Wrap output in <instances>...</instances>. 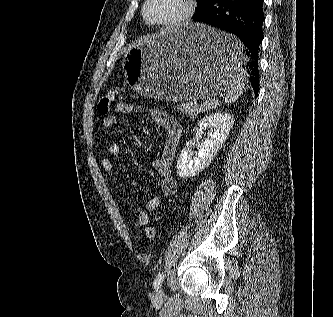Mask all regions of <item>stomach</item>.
Instances as JSON below:
<instances>
[{
    "label": "stomach",
    "instance_id": "stomach-1",
    "mask_svg": "<svg viewBox=\"0 0 333 317\" xmlns=\"http://www.w3.org/2000/svg\"><path fill=\"white\" fill-rule=\"evenodd\" d=\"M246 45L213 24L170 28L141 39L122 58L129 85L147 98L198 101L234 88Z\"/></svg>",
    "mask_w": 333,
    "mask_h": 317
}]
</instances>
